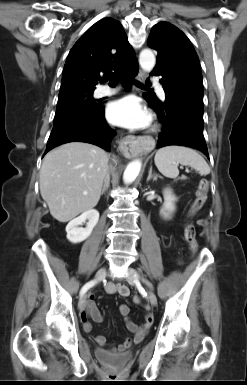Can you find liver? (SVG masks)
<instances>
[{"label":"liver","mask_w":247,"mask_h":385,"mask_svg":"<svg viewBox=\"0 0 247 385\" xmlns=\"http://www.w3.org/2000/svg\"><path fill=\"white\" fill-rule=\"evenodd\" d=\"M108 160L103 149L84 142H69L46 154L40 193L56 220L68 222L97 205Z\"/></svg>","instance_id":"1"}]
</instances>
